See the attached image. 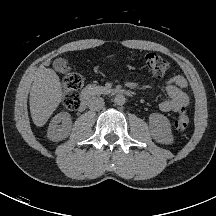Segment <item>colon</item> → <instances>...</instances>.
I'll return each instance as SVG.
<instances>
[{
  "label": "colon",
  "mask_w": 216,
  "mask_h": 216,
  "mask_svg": "<svg viewBox=\"0 0 216 216\" xmlns=\"http://www.w3.org/2000/svg\"><path fill=\"white\" fill-rule=\"evenodd\" d=\"M144 66L155 76H163L171 69V63L157 53H148L143 57ZM64 88L63 106L68 110H75L80 106V90L83 85L82 77L75 72L66 69L62 75ZM190 122L189 114L182 108L174 121L177 130H185Z\"/></svg>",
  "instance_id": "1"
}]
</instances>
